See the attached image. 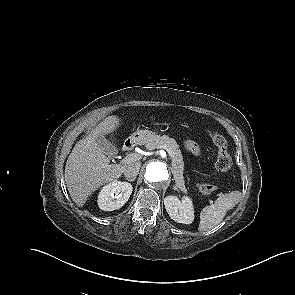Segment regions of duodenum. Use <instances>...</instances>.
<instances>
[{
	"label": "duodenum",
	"mask_w": 295,
	"mask_h": 295,
	"mask_svg": "<svg viewBox=\"0 0 295 295\" xmlns=\"http://www.w3.org/2000/svg\"><path fill=\"white\" fill-rule=\"evenodd\" d=\"M136 142L134 139H128L126 140V142L123 145V150L124 151H130L133 149V147L135 146Z\"/></svg>",
	"instance_id": "1"
}]
</instances>
